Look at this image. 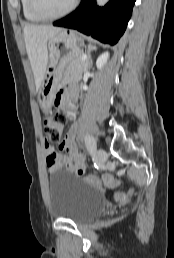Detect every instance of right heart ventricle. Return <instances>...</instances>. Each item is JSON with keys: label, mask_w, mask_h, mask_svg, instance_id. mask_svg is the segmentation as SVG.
<instances>
[{"label": "right heart ventricle", "mask_w": 174, "mask_h": 258, "mask_svg": "<svg viewBox=\"0 0 174 258\" xmlns=\"http://www.w3.org/2000/svg\"><path fill=\"white\" fill-rule=\"evenodd\" d=\"M21 8L25 19L29 22H40L38 16H36L30 8L29 0H21Z\"/></svg>", "instance_id": "e07e8e85"}]
</instances>
